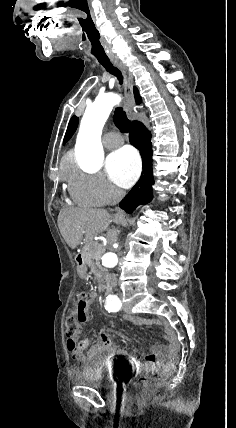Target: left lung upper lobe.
<instances>
[{
  "label": "left lung upper lobe",
  "mask_w": 236,
  "mask_h": 428,
  "mask_svg": "<svg viewBox=\"0 0 236 428\" xmlns=\"http://www.w3.org/2000/svg\"><path fill=\"white\" fill-rule=\"evenodd\" d=\"M78 121L79 119L76 116H73L69 122L65 137H64V141L63 143L65 144L73 135V133L75 132L77 125H78Z\"/></svg>",
  "instance_id": "5c2ea615"
}]
</instances>
